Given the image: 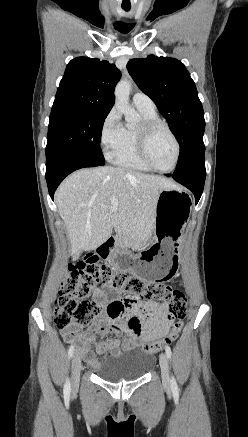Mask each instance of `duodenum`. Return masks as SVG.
Masks as SVG:
<instances>
[{
	"mask_svg": "<svg viewBox=\"0 0 248 437\" xmlns=\"http://www.w3.org/2000/svg\"><path fill=\"white\" fill-rule=\"evenodd\" d=\"M118 244V241L116 237L111 236L107 238L100 246L99 248H91L88 251V254L91 257H106V255L116 248Z\"/></svg>",
	"mask_w": 248,
	"mask_h": 437,
	"instance_id": "obj_1",
	"label": "duodenum"
}]
</instances>
